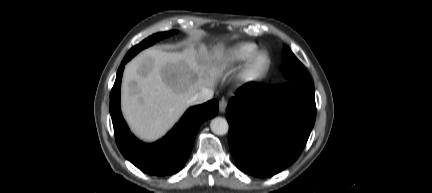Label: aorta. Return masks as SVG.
Returning a JSON list of instances; mask_svg holds the SVG:
<instances>
[{
    "instance_id": "1",
    "label": "aorta",
    "mask_w": 432,
    "mask_h": 193,
    "mask_svg": "<svg viewBox=\"0 0 432 193\" xmlns=\"http://www.w3.org/2000/svg\"><path fill=\"white\" fill-rule=\"evenodd\" d=\"M210 128L216 135H225L229 130V125L225 118L216 117L211 120Z\"/></svg>"
}]
</instances>
